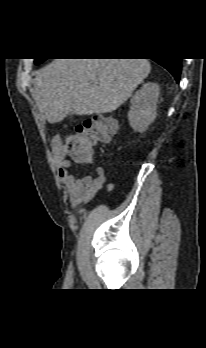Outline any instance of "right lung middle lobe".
I'll return each mask as SVG.
<instances>
[{
    "label": "right lung middle lobe",
    "mask_w": 206,
    "mask_h": 348,
    "mask_svg": "<svg viewBox=\"0 0 206 348\" xmlns=\"http://www.w3.org/2000/svg\"><path fill=\"white\" fill-rule=\"evenodd\" d=\"M45 59H35V63L36 64H40L41 62H43Z\"/></svg>",
    "instance_id": "dd1d6c3e"
}]
</instances>
